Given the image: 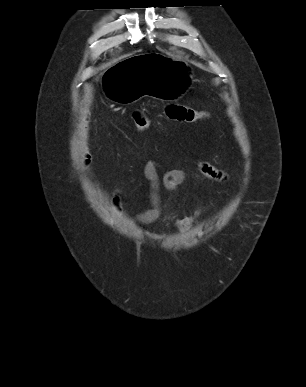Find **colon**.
Returning <instances> with one entry per match:
<instances>
[{
  "label": "colon",
  "instance_id": "colon-1",
  "mask_svg": "<svg viewBox=\"0 0 306 387\" xmlns=\"http://www.w3.org/2000/svg\"><path fill=\"white\" fill-rule=\"evenodd\" d=\"M166 116L171 120H182V122L194 123L206 118L204 111L181 104H169L165 108ZM135 129L142 133L149 127V118L144 110H135L132 113Z\"/></svg>",
  "mask_w": 306,
  "mask_h": 387
}]
</instances>
